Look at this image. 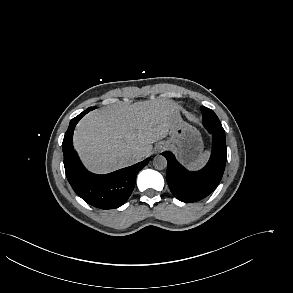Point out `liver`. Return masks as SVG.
<instances>
[{
  "label": "liver",
  "instance_id": "obj_1",
  "mask_svg": "<svg viewBox=\"0 0 293 293\" xmlns=\"http://www.w3.org/2000/svg\"><path fill=\"white\" fill-rule=\"evenodd\" d=\"M178 106L170 101L121 103L96 109L78 123L74 146L85 166L107 173L130 166L152 153V144L165 138Z\"/></svg>",
  "mask_w": 293,
  "mask_h": 293
}]
</instances>
